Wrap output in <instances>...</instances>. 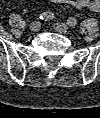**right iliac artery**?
<instances>
[{"label": "right iliac artery", "instance_id": "82829eb1", "mask_svg": "<svg viewBox=\"0 0 100 118\" xmlns=\"http://www.w3.org/2000/svg\"><path fill=\"white\" fill-rule=\"evenodd\" d=\"M39 18H40L41 20L48 21V20H51V19L54 18V14L51 13V12H49V11H46V12H43V13L39 16Z\"/></svg>", "mask_w": 100, "mask_h": 118}]
</instances>
